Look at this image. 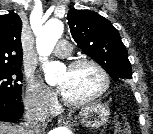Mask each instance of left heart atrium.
Listing matches in <instances>:
<instances>
[{
	"mask_svg": "<svg viewBox=\"0 0 153 134\" xmlns=\"http://www.w3.org/2000/svg\"><path fill=\"white\" fill-rule=\"evenodd\" d=\"M59 90L62 92L61 88L59 87Z\"/></svg>",
	"mask_w": 153,
	"mask_h": 134,
	"instance_id": "1",
	"label": "left heart atrium"
}]
</instances>
